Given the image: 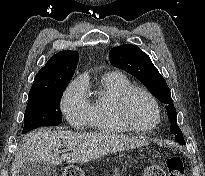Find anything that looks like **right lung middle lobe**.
<instances>
[{"label":"right lung middle lobe","mask_w":205,"mask_h":176,"mask_svg":"<svg viewBox=\"0 0 205 176\" xmlns=\"http://www.w3.org/2000/svg\"><path fill=\"white\" fill-rule=\"evenodd\" d=\"M66 85L28 98L22 134L42 126H57L62 122L60 100Z\"/></svg>","instance_id":"dd1d6c3e"}]
</instances>
